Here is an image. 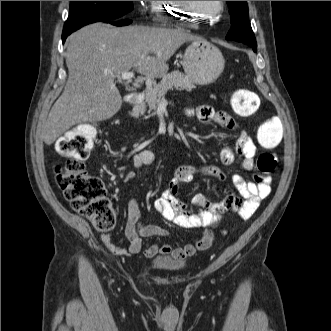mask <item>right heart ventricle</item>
I'll return each instance as SVG.
<instances>
[{"mask_svg": "<svg viewBox=\"0 0 331 331\" xmlns=\"http://www.w3.org/2000/svg\"><path fill=\"white\" fill-rule=\"evenodd\" d=\"M177 5V1H155L152 8L155 19L162 23L173 22L175 14H178Z\"/></svg>", "mask_w": 331, "mask_h": 331, "instance_id": "e07e8e85", "label": "right heart ventricle"}]
</instances>
